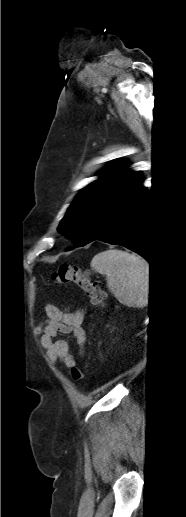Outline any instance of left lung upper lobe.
<instances>
[{"mask_svg":"<svg viewBox=\"0 0 186 517\" xmlns=\"http://www.w3.org/2000/svg\"><path fill=\"white\" fill-rule=\"evenodd\" d=\"M117 161L102 170L101 178L83 188L58 227L76 246L86 245L110 208L141 178L139 172L125 170Z\"/></svg>","mask_w":186,"mask_h":517,"instance_id":"5c2ea615","label":"left lung upper lobe"}]
</instances>
